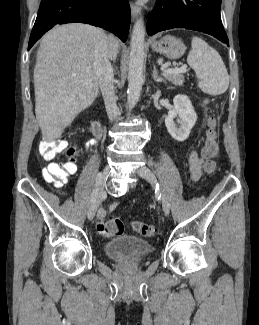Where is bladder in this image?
Here are the masks:
<instances>
[{
	"label": "bladder",
	"mask_w": 259,
	"mask_h": 325,
	"mask_svg": "<svg viewBox=\"0 0 259 325\" xmlns=\"http://www.w3.org/2000/svg\"><path fill=\"white\" fill-rule=\"evenodd\" d=\"M104 250L114 260H140L151 252L152 246L138 237L122 236L107 242Z\"/></svg>",
	"instance_id": "obj_1"
}]
</instances>
